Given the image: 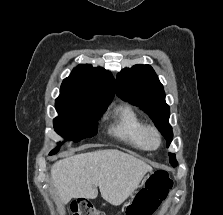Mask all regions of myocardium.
I'll list each match as a JSON object with an SVG mask.
<instances>
[{
	"instance_id": "myocardium-1",
	"label": "myocardium",
	"mask_w": 223,
	"mask_h": 215,
	"mask_svg": "<svg viewBox=\"0 0 223 215\" xmlns=\"http://www.w3.org/2000/svg\"><path fill=\"white\" fill-rule=\"evenodd\" d=\"M144 147L148 150H157L161 145V135L154 126H146L143 135Z\"/></svg>"
}]
</instances>
